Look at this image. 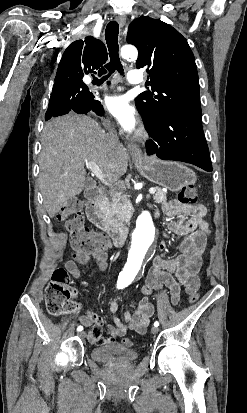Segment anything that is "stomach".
I'll return each instance as SVG.
<instances>
[{
    "instance_id": "stomach-1",
    "label": "stomach",
    "mask_w": 247,
    "mask_h": 413,
    "mask_svg": "<svg viewBox=\"0 0 247 413\" xmlns=\"http://www.w3.org/2000/svg\"><path fill=\"white\" fill-rule=\"evenodd\" d=\"M135 164L139 166L143 176L161 184L169 190H182L184 186L195 184L197 176L194 170L176 162V160H159V158H145V156H132Z\"/></svg>"
}]
</instances>
